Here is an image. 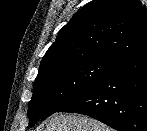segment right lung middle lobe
<instances>
[{
  "instance_id": "1",
  "label": "right lung middle lobe",
  "mask_w": 147,
  "mask_h": 131,
  "mask_svg": "<svg viewBox=\"0 0 147 131\" xmlns=\"http://www.w3.org/2000/svg\"><path fill=\"white\" fill-rule=\"evenodd\" d=\"M116 64L117 61L95 56L70 61L38 73L28 107L29 127L81 96Z\"/></svg>"
}]
</instances>
